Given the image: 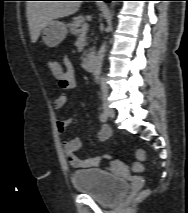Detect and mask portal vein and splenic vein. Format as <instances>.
Returning a JSON list of instances; mask_svg holds the SVG:
<instances>
[{
  "mask_svg": "<svg viewBox=\"0 0 188 213\" xmlns=\"http://www.w3.org/2000/svg\"><path fill=\"white\" fill-rule=\"evenodd\" d=\"M88 30V24H84L80 30L81 34H85Z\"/></svg>",
  "mask_w": 188,
  "mask_h": 213,
  "instance_id": "1",
  "label": "portal vein and splenic vein"
}]
</instances>
